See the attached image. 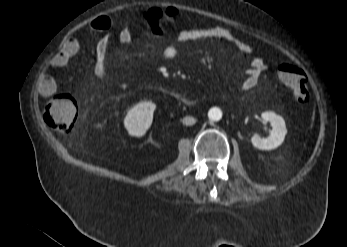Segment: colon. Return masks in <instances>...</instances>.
I'll return each instance as SVG.
<instances>
[{"label": "colon", "mask_w": 347, "mask_h": 247, "mask_svg": "<svg viewBox=\"0 0 347 247\" xmlns=\"http://www.w3.org/2000/svg\"><path fill=\"white\" fill-rule=\"evenodd\" d=\"M176 10L151 8L142 14L148 31L154 35H162L166 20L174 21ZM278 78L287 87L297 102L305 103L309 99L310 87L305 72L293 64H281L278 67ZM78 105L69 94H53L44 106V121L48 126L60 133H70L75 128Z\"/></svg>", "instance_id": "colon-1"}]
</instances>
